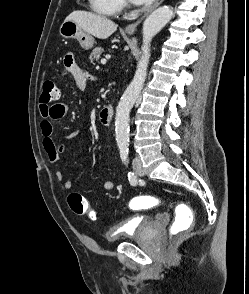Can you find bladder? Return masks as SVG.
Returning <instances> with one entry per match:
<instances>
[{
    "label": "bladder",
    "instance_id": "obj_1",
    "mask_svg": "<svg viewBox=\"0 0 249 294\" xmlns=\"http://www.w3.org/2000/svg\"><path fill=\"white\" fill-rule=\"evenodd\" d=\"M155 218L150 215H140L125 221V229L116 233L113 228L105 233L107 243H116L120 240H130L143 237L154 225Z\"/></svg>",
    "mask_w": 249,
    "mask_h": 294
}]
</instances>
